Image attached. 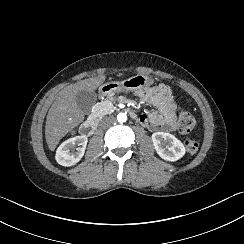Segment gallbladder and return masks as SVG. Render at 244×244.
Instances as JSON below:
<instances>
[{
  "mask_svg": "<svg viewBox=\"0 0 244 244\" xmlns=\"http://www.w3.org/2000/svg\"><path fill=\"white\" fill-rule=\"evenodd\" d=\"M77 104L82 112L87 115L91 112L92 107L95 105L97 95L91 91H81L76 95Z\"/></svg>",
  "mask_w": 244,
  "mask_h": 244,
  "instance_id": "bac80fb5",
  "label": "gallbladder"
}]
</instances>
